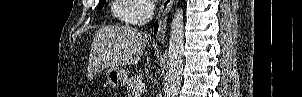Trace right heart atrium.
Instances as JSON below:
<instances>
[{
    "label": "right heart atrium",
    "mask_w": 302,
    "mask_h": 97,
    "mask_svg": "<svg viewBox=\"0 0 302 97\" xmlns=\"http://www.w3.org/2000/svg\"><path fill=\"white\" fill-rule=\"evenodd\" d=\"M136 8L132 17V22L134 24H144L152 16L153 6L148 0H136Z\"/></svg>",
    "instance_id": "d8ad5b80"
}]
</instances>
